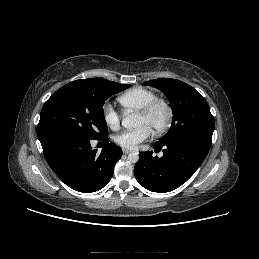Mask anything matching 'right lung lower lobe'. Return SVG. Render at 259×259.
Instances as JSON below:
<instances>
[{
	"label": "right lung lower lobe",
	"mask_w": 259,
	"mask_h": 259,
	"mask_svg": "<svg viewBox=\"0 0 259 259\" xmlns=\"http://www.w3.org/2000/svg\"><path fill=\"white\" fill-rule=\"evenodd\" d=\"M89 139L73 134H57L43 141L44 156L55 174L70 188L91 193L106 186L114 171L116 162L122 156V149L109 143L107 137L100 154L92 149Z\"/></svg>",
	"instance_id": "obj_1"
}]
</instances>
